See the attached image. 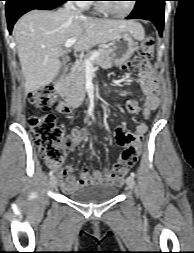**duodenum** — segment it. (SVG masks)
Masks as SVG:
<instances>
[{"mask_svg": "<svg viewBox=\"0 0 194 253\" xmlns=\"http://www.w3.org/2000/svg\"><path fill=\"white\" fill-rule=\"evenodd\" d=\"M65 81V75L56 82L55 84V88L60 91L63 84ZM76 92H80V89H76ZM76 107V103L75 102H70V103H64V102H60L58 105V110L59 112L63 113V114H69L73 111V109Z\"/></svg>", "mask_w": 194, "mask_h": 253, "instance_id": "1", "label": "duodenum"}]
</instances>
